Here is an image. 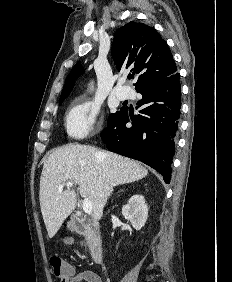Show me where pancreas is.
Here are the masks:
<instances>
[{
  "instance_id": "pancreas-1",
  "label": "pancreas",
  "mask_w": 232,
  "mask_h": 282,
  "mask_svg": "<svg viewBox=\"0 0 232 282\" xmlns=\"http://www.w3.org/2000/svg\"><path fill=\"white\" fill-rule=\"evenodd\" d=\"M88 236H89V233L86 234V237H88Z\"/></svg>"
}]
</instances>
